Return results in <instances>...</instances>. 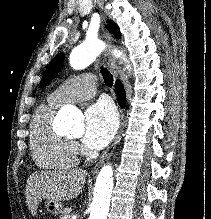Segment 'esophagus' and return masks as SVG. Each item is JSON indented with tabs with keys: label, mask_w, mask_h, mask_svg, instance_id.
<instances>
[{
	"label": "esophagus",
	"mask_w": 211,
	"mask_h": 219,
	"mask_svg": "<svg viewBox=\"0 0 211 219\" xmlns=\"http://www.w3.org/2000/svg\"><path fill=\"white\" fill-rule=\"evenodd\" d=\"M104 38L106 39V41L109 45L112 43V37L106 31L104 32ZM105 60H106V63H107V66H108L109 70L111 71L113 76L115 78H117L118 73H117V70H116L115 60H114L113 56L109 53V51L106 52ZM120 111H121V125H120V128H119V131H118L114 141L112 142V144L108 147V149L100 157L99 161L97 162V164L95 165V167L93 169V172H96L98 170V168L111 156V154L115 150L117 144L120 142L122 126H123V121H124L123 110L121 109Z\"/></svg>",
	"instance_id": "obj_1"
}]
</instances>
